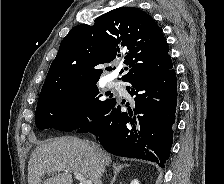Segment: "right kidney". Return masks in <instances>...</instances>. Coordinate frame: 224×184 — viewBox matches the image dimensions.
Instances as JSON below:
<instances>
[{
	"label": "right kidney",
	"mask_w": 224,
	"mask_h": 184,
	"mask_svg": "<svg viewBox=\"0 0 224 184\" xmlns=\"http://www.w3.org/2000/svg\"><path fill=\"white\" fill-rule=\"evenodd\" d=\"M130 184H140V183H139V181L137 179H134V180L131 181Z\"/></svg>",
	"instance_id": "right-kidney-1"
}]
</instances>
